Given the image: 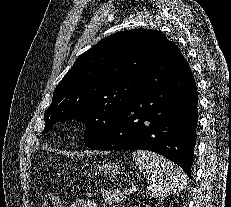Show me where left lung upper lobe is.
<instances>
[{
    "label": "left lung upper lobe",
    "mask_w": 231,
    "mask_h": 207,
    "mask_svg": "<svg viewBox=\"0 0 231 207\" xmlns=\"http://www.w3.org/2000/svg\"><path fill=\"white\" fill-rule=\"evenodd\" d=\"M173 42L160 31L132 29L108 36L80 55L53 93L44 114L48 132L59 121L85 123L92 147L144 90V78Z\"/></svg>",
    "instance_id": "1"
}]
</instances>
